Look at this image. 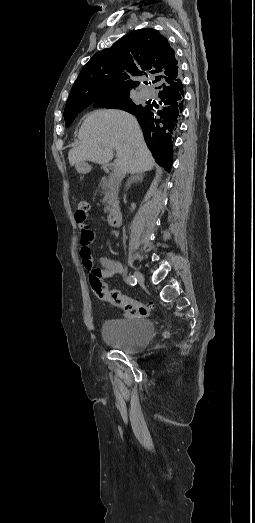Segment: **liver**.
I'll return each mask as SVG.
<instances>
[{"label": "liver", "instance_id": "liver-1", "mask_svg": "<svg viewBox=\"0 0 255 523\" xmlns=\"http://www.w3.org/2000/svg\"><path fill=\"white\" fill-rule=\"evenodd\" d=\"M80 144L68 154L70 166H75L80 174H87V162L108 164L114 150L116 170L121 174H143L156 166L148 150L142 130L134 116L121 110H96L91 112L79 128L77 136Z\"/></svg>", "mask_w": 255, "mask_h": 523}]
</instances>
